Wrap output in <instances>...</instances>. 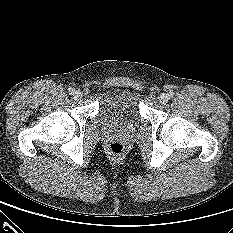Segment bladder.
<instances>
[{"label": "bladder", "mask_w": 233, "mask_h": 233, "mask_svg": "<svg viewBox=\"0 0 233 233\" xmlns=\"http://www.w3.org/2000/svg\"><path fill=\"white\" fill-rule=\"evenodd\" d=\"M141 93L129 87H110L99 97L98 117L113 125L135 124L140 120Z\"/></svg>", "instance_id": "obj_1"}]
</instances>
